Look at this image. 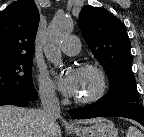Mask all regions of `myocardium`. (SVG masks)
Returning a JSON list of instances; mask_svg holds the SVG:
<instances>
[{
    "instance_id": "obj_1",
    "label": "myocardium",
    "mask_w": 144,
    "mask_h": 137,
    "mask_svg": "<svg viewBox=\"0 0 144 137\" xmlns=\"http://www.w3.org/2000/svg\"><path fill=\"white\" fill-rule=\"evenodd\" d=\"M78 70L92 72L97 78L98 86L91 95L83 98L75 97L74 102L78 105H89L99 101L105 95L107 89V79L104 71L100 66L93 63H83Z\"/></svg>"
}]
</instances>
